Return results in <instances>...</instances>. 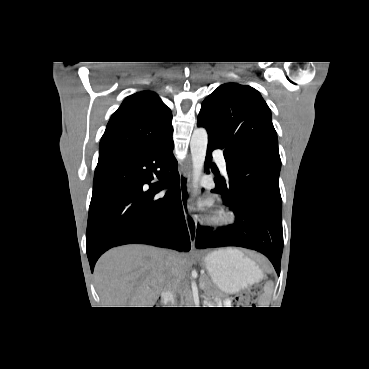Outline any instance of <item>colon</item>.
Wrapping results in <instances>:
<instances>
[{
  "label": "colon",
  "mask_w": 369,
  "mask_h": 369,
  "mask_svg": "<svg viewBox=\"0 0 369 369\" xmlns=\"http://www.w3.org/2000/svg\"><path fill=\"white\" fill-rule=\"evenodd\" d=\"M261 290L258 286L251 287L248 291H245L239 295H237L234 299L236 306L238 307H253L255 306Z\"/></svg>",
  "instance_id": "colon-1"
}]
</instances>
